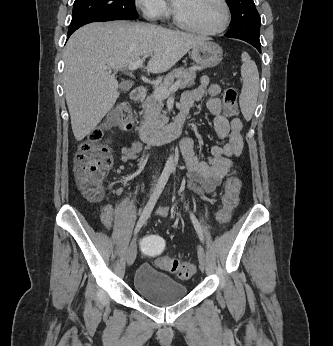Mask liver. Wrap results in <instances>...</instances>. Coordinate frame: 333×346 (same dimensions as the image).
<instances>
[{
    "instance_id": "obj_1",
    "label": "liver",
    "mask_w": 333,
    "mask_h": 346,
    "mask_svg": "<svg viewBox=\"0 0 333 346\" xmlns=\"http://www.w3.org/2000/svg\"><path fill=\"white\" fill-rule=\"evenodd\" d=\"M206 38L144 23H91L75 31L64 51V92L77 141L100 123L119 97L115 77L145 55V70L163 73Z\"/></svg>"
}]
</instances>
